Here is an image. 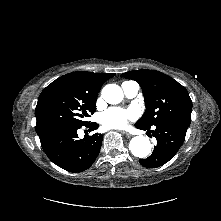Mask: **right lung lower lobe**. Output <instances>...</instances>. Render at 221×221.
Returning a JSON list of instances; mask_svg holds the SVG:
<instances>
[{"label":"right lung lower lobe","instance_id":"1","mask_svg":"<svg viewBox=\"0 0 221 221\" xmlns=\"http://www.w3.org/2000/svg\"><path fill=\"white\" fill-rule=\"evenodd\" d=\"M84 126L95 130L99 125L91 122ZM79 128L81 127H58L38 135L48 158L69 172L87 170L96 160L102 145L101 134L78 139L77 130Z\"/></svg>","mask_w":221,"mask_h":221}]
</instances>
